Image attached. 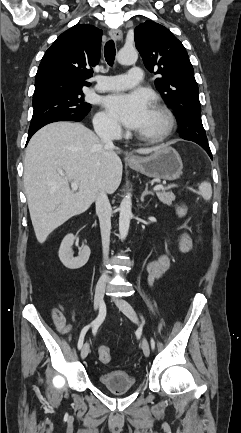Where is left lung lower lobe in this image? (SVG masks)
Instances as JSON below:
<instances>
[{"label": "left lung lower lobe", "instance_id": "0a47b994", "mask_svg": "<svg viewBox=\"0 0 241 433\" xmlns=\"http://www.w3.org/2000/svg\"><path fill=\"white\" fill-rule=\"evenodd\" d=\"M201 147H203L207 151V153L209 154V156L212 158V154H211L209 146H201Z\"/></svg>", "mask_w": 241, "mask_h": 433}]
</instances>
